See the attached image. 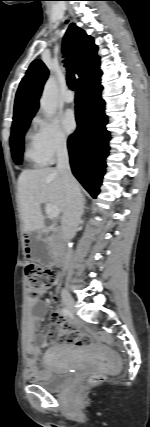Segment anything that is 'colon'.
Instances as JSON below:
<instances>
[{
    "instance_id": "obj_1",
    "label": "colon",
    "mask_w": 150,
    "mask_h": 427,
    "mask_svg": "<svg viewBox=\"0 0 150 427\" xmlns=\"http://www.w3.org/2000/svg\"><path fill=\"white\" fill-rule=\"evenodd\" d=\"M26 277H27V294L31 298H37L48 292L55 283V272L47 267L42 266L40 263L29 259L26 263ZM104 376L101 374L91 376L87 384L92 385L101 382Z\"/></svg>"
}]
</instances>
